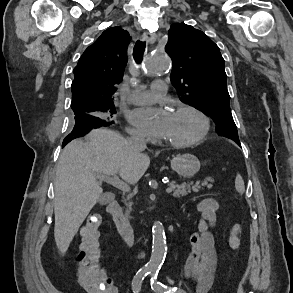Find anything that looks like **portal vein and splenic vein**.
<instances>
[{
	"mask_svg": "<svg viewBox=\"0 0 293 293\" xmlns=\"http://www.w3.org/2000/svg\"><path fill=\"white\" fill-rule=\"evenodd\" d=\"M99 179L101 181H105L108 184L113 185L114 187L124 191V192H129L130 191V187L123 182L122 180L119 179L118 176L113 175V176H108V175H99ZM173 191V189L171 187L166 188V193H171Z\"/></svg>",
	"mask_w": 293,
	"mask_h": 293,
	"instance_id": "obj_1",
	"label": "portal vein and splenic vein"
}]
</instances>
